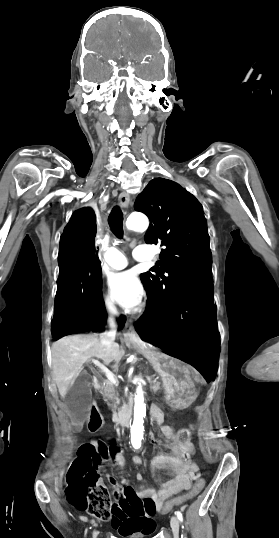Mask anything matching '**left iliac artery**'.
Returning a JSON list of instances; mask_svg holds the SVG:
<instances>
[{
    "label": "left iliac artery",
    "instance_id": "obj_1",
    "mask_svg": "<svg viewBox=\"0 0 279 538\" xmlns=\"http://www.w3.org/2000/svg\"><path fill=\"white\" fill-rule=\"evenodd\" d=\"M176 515H177L178 519L182 522L183 521L182 513L180 511H177Z\"/></svg>",
    "mask_w": 279,
    "mask_h": 538
}]
</instances>
